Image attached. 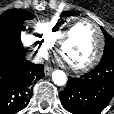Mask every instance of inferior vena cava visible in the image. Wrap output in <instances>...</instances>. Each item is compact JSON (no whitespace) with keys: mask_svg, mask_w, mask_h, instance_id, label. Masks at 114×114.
I'll use <instances>...</instances> for the list:
<instances>
[{"mask_svg":"<svg viewBox=\"0 0 114 114\" xmlns=\"http://www.w3.org/2000/svg\"><path fill=\"white\" fill-rule=\"evenodd\" d=\"M26 57L33 63H43V58L39 54L28 53Z\"/></svg>","mask_w":114,"mask_h":114,"instance_id":"inferior-vena-cava-1","label":"inferior vena cava"}]
</instances>
